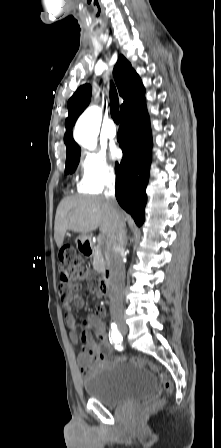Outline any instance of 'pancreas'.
<instances>
[{"instance_id":"pancreas-1","label":"pancreas","mask_w":221,"mask_h":448,"mask_svg":"<svg viewBox=\"0 0 221 448\" xmlns=\"http://www.w3.org/2000/svg\"><path fill=\"white\" fill-rule=\"evenodd\" d=\"M107 262H108V251L102 244H98L95 247V253L93 257L94 269L97 271H104Z\"/></svg>"}]
</instances>
